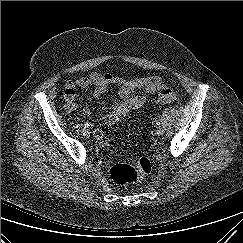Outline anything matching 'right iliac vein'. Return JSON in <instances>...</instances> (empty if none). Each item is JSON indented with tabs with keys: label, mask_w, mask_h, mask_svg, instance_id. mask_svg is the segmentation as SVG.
Here are the masks:
<instances>
[{
	"label": "right iliac vein",
	"mask_w": 243,
	"mask_h": 243,
	"mask_svg": "<svg viewBox=\"0 0 243 243\" xmlns=\"http://www.w3.org/2000/svg\"><path fill=\"white\" fill-rule=\"evenodd\" d=\"M82 135L85 136V137H89L90 136V131L86 128H84L82 131H81Z\"/></svg>",
	"instance_id": "1"
}]
</instances>
